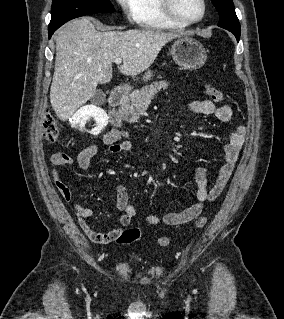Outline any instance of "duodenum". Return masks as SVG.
<instances>
[{"mask_svg":"<svg viewBox=\"0 0 284 319\" xmlns=\"http://www.w3.org/2000/svg\"><path fill=\"white\" fill-rule=\"evenodd\" d=\"M127 92L123 89L117 88L111 91L109 96V103L111 106L110 110V121L114 127L122 126V117L119 112V107L127 100Z\"/></svg>","mask_w":284,"mask_h":319,"instance_id":"1","label":"duodenum"}]
</instances>
